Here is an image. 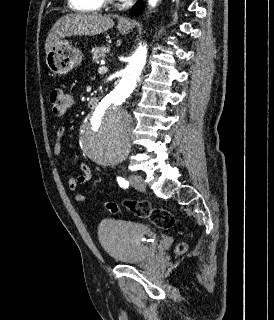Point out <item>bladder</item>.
Segmentation results:
<instances>
[{
    "instance_id": "obj_1",
    "label": "bladder",
    "mask_w": 274,
    "mask_h": 320,
    "mask_svg": "<svg viewBox=\"0 0 274 320\" xmlns=\"http://www.w3.org/2000/svg\"><path fill=\"white\" fill-rule=\"evenodd\" d=\"M99 243L110 259L119 264H138L155 252L156 234L147 225L108 219L97 231Z\"/></svg>"
}]
</instances>
